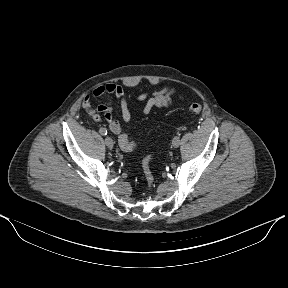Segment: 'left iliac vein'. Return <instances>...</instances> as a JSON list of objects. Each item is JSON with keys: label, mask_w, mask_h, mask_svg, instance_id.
<instances>
[{"label": "left iliac vein", "mask_w": 288, "mask_h": 288, "mask_svg": "<svg viewBox=\"0 0 288 288\" xmlns=\"http://www.w3.org/2000/svg\"><path fill=\"white\" fill-rule=\"evenodd\" d=\"M172 145H173V147L177 148V147L180 145V138H179L178 140H175V139L173 138V140H172Z\"/></svg>", "instance_id": "1"}]
</instances>
